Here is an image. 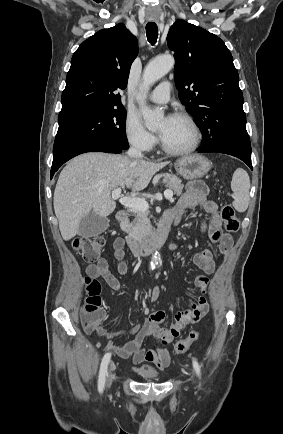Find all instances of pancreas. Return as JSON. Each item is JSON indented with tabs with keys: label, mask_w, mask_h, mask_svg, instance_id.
Listing matches in <instances>:
<instances>
[{
	"label": "pancreas",
	"mask_w": 283,
	"mask_h": 434,
	"mask_svg": "<svg viewBox=\"0 0 283 434\" xmlns=\"http://www.w3.org/2000/svg\"><path fill=\"white\" fill-rule=\"evenodd\" d=\"M163 183L167 188L173 190L177 196L182 194L184 185L181 183V180L178 177L171 176L164 179ZM132 212L135 216L134 220L132 222H121L120 226L123 231L129 234L130 238L137 242H141L147 238L152 231L150 219L148 218L149 213L147 211L140 212L135 210Z\"/></svg>",
	"instance_id": "cf45deb5"
}]
</instances>
